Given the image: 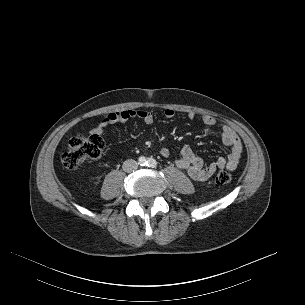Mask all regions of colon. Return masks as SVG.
Segmentation results:
<instances>
[{"label":"colon","instance_id":"obj_1","mask_svg":"<svg viewBox=\"0 0 305 305\" xmlns=\"http://www.w3.org/2000/svg\"><path fill=\"white\" fill-rule=\"evenodd\" d=\"M104 147V139L99 134L75 135L68 141L67 150L61 158L62 164L67 169H76L90 160L99 158ZM231 179L228 170L219 171L215 177L216 183L220 185L228 184Z\"/></svg>","mask_w":305,"mask_h":305}]
</instances>
